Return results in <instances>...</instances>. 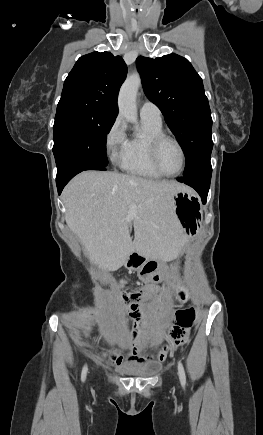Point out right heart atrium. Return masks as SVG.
Segmentation results:
<instances>
[{
	"label": "right heart atrium",
	"instance_id": "d8ad5b80",
	"mask_svg": "<svg viewBox=\"0 0 263 435\" xmlns=\"http://www.w3.org/2000/svg\"><path fill=\"white\" fill-rule=\"evenodd\" d=\"M126 141L127 136L123 121L116 117L105 135V149L113 162L121 160Z\"/></svg>",
	"mask_w": 263,
	"mask_h": 435
}]
</instances>
